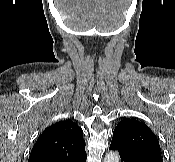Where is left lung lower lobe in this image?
Wrapping results in <instances>:
<instances>
[{"instance_id": "0a47b994", "label": "left lung lower lobe", "mask_w": 175, "mask_h": 162, "mask_svg": "<svg viewBox=\"0 0 175 162\" xmlns=\"http://www.w3.org/2000/svg\"><path fill=\"white\" fill-rule=\"evenodd\" d=\"M110 149L119 151L121 162H163L160 152L148 149L137 152H124L114 145H110Z\"/></svg>"}]
</instances>
